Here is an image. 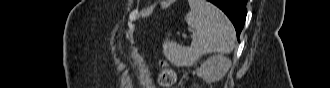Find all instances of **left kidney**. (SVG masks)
I'll return each mask as SVG.
<instances>
[{
	"mask_svg": "<svg viewBox=\"0 0 330 88\" xmlns=\"http://www.w3.org/2000/svg\"><path fill=\"white\" fill-rule=\"evenodd\" d=\"M230 67V59L223 55H215L207 59L201 65L197 73L209 82H216L221 80L226 75Z\"/></svg>",
	"mask_w": 330,
	"mask_h": 88,
	"instance_id": "obj_1",
	"label": "left kidney"
}]
</instances>
